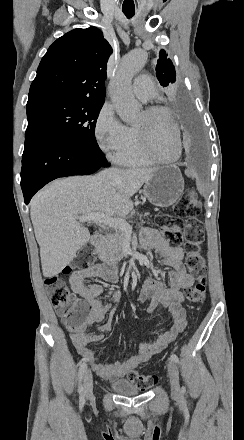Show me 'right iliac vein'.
I'll return each instance as SVG.
<instances>
[{"mask_svg":"<svg viewBox=\"0 0 244 440\" xmlns=\"http://www.w3.org/2000/svg\"><path fill=\"white\" fill-rule=\"evenodd\" d=\"M83 384L85 396L87 399H90L93 394V376L89 369L84 372Z\"/></svg>","mask_w":244,"mask_h":440,"instance_id":"obj_1","label":"right iliac vein"}]
</instances>
